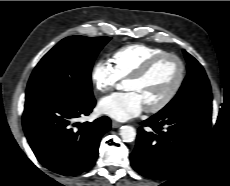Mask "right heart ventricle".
I'll return each mask as SVG.
<instances>
[{
	"label": "right heart ventricle",
	"mask_w": 230,
	"mask_h": 186,
	"mask_svg": "<svg viewBox=\"0 0 230 186\" xmlns=\"http://www.w3.org/2000/svg\"><path fill=\"white\" fill-rule=\"evenodd\" d=\"M165 53L163 49L131 44L117 49L111 56L112 66L119 79H126L154 56Z\"/></svg>",
	"instance_id": "obj_1"
}]
</instances>
